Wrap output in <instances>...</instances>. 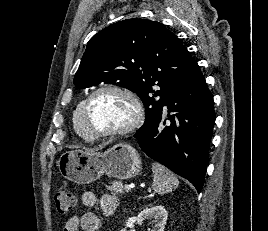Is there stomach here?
Instances as JSON below:
<instances>
[{"label": "stomach", "mask_w": 268, "mask_h": 231, "mask_svg": "<svg viewBox=\"0 0 268 231\" xmlns=\"http://www.w3.org/2000/svg\"><path fill=\"white\" fill-rule=\"evenodd\" d=\"M57 166L64 178L88 184L104 174L119 180L133 178L141 171V159L132 146L119 143L103 153L80 149L64 152Z\"/></svg>", "instance_id": "stomach-1"}]
</instances>
